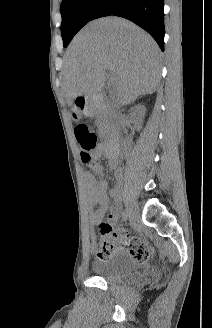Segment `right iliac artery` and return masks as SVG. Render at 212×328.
Returning <instances> with one entry per match:
<instances>
[{"instance_id": "1", "label": "right iliac artery", "mask_w": 212, "mask_h": 328, "mask_svg": "<svg viewBox=\"0 0 212 328\" xmlns=\"http://www.w3.org/2000/svg\"><path fill=\"white\" fill-rule=\"evenodd\" d=\"M128 217H129L128 209H124L122 212L123 221H127Z\"/></svg>"}]
</instances>
